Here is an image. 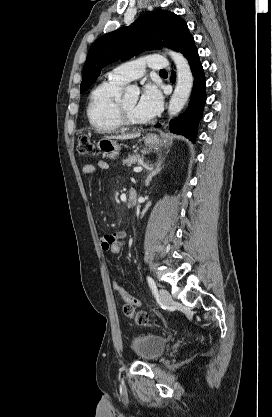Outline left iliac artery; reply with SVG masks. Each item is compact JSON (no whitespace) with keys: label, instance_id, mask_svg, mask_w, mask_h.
<instances>
[{"label":"left iliac artery","instance_id":"1","mask_svg":"<svg viewBox=\"0 0 272 417\" xmlns=\"http://www.w3.org/2000/svg\"><path fill=\"white\" fill-rule=\"evenodd\" d=\"M147 281H148L150 289L152 290V293L156 296L158 294V291H157V286L154 280L150 276H147Z\"/></svg>","mask_w":272,"mask_h":417}]
</instances>
